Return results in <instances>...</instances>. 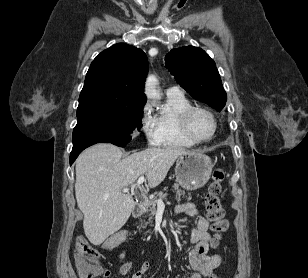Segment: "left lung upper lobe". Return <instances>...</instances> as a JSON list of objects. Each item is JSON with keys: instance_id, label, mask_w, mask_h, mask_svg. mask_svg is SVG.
<instances>
[{"instance_id": "obj_1", "label": "left lung upper lobe", "mask_w": 308, "mask_h": 278, "mask_svg": "<svg viewBox=\"0 0 308 278\" xmlns=\"http://www.w3.org/2000/svg\"><path fill=\"white\" fill-rule=\"evenodd\" d=\"M166 67L190 95L221 111L227 100L215 62L193 46L172 49L165 56Z\"/></svg>"}]
</instances>
